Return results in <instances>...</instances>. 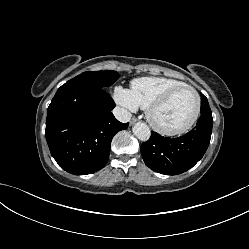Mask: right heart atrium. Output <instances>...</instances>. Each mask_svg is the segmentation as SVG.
I'll return each instance as SVG.
<instances>
[{
    "label": "right heart atrium",
    "mask_w": 249,
    "mask_h": 249,
    "mask_svg": "<svg viewBox=\"0 0 249 249\" xmlns=\"http://www.w3.org/2000/svg\"><path fill=\"white\" fill-rule=\"evenodd\" d=\"M115 101L122 107L134 111L138 108L137 103L133 99L130 90L117 86L114 90Z\"/></svg>",
    "instance_id": "d8ad5b80"
}]
</instances>
